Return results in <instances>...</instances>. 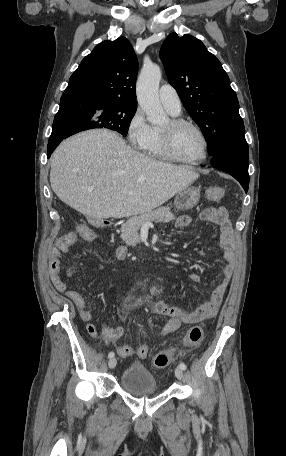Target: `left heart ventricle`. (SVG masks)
<instances>
[{
	"label": "left heart ventricle",
	"mask_w": 286,
	"mask_h": 456,
	"mask_svg": "<svg viewBox=\"0 0 286 456\" xmlns=\"http://www.w3.org/2000/svg\"><path fill=\"white\" fill-rule=\"evenodd\" d=\"M160 130L172 132V147L177 156L183 159H197L203 154V142L200 135L192 128L172 129L168 121Z\"/></svg>",
	"instance_id": "b2bd125f"
}]
</instances>
